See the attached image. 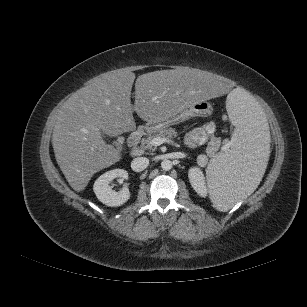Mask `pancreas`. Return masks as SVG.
Returning <instances> with one entry per match:
<instances>
[{
  "instance_id": "obj_1",
  "label": "pancreas",
  "mask_w": 307,
  "mask_h": 307,
  "mask_svg": "<svg viewBox=\"0 0 307 307\" xmlns=\"http://www.w3.org/2000/svg\"><path fill=\"white\" fill-rule=\"evenodd\" d=\"M176 136H177V132H176L175 128L163 127L156 132L149 133L147 137L142 138V140L140 141L141 148H143V149H153L154 145L151 144V141L155 137L172 138V137H176ZM219 145H220V141H218V140L211 141L209 143V146L206 148L207 155L212 156L214 154V152L218 149Z\"/></svg>"
}]
</instances>
